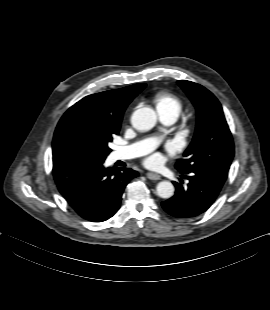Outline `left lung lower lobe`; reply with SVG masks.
<instances>
[{
	"label": "left lung lower lobe",
	"instance_id": "0a47b994",
	"mask_svg": "<svg viewBox=\"0 0 270 310\" xmlns=\"http://www.w3.org/2000/svg\"><path fill=\"white\" fill-rule=\"evenodd\" d=\"M181 174L189 183L183 187L182 181L173 182L176 187L175 195L162 202V207L168 214L182 219L199 216L209 209L227 178L226 175L210 173L200 168Z\"/></svg>",
	"mask_w": 270,
	"mask_h": 310
}]
</instances>
